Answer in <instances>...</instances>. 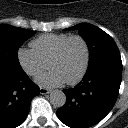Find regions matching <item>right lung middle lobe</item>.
I'll use <instances>...</instances> for the list:
<instances>
[{
    "label": "right lung middle lobe",
    "mask_w": 128,
    "mask_h": 128,
    "mask_svg": "<svg viewBox=\"0 0 128 128\" xmlns=\"http://www.w3.org/2000/svg\"><path fill=\"white\" fill-rule=\"evenodd\" d=\"M35 31L0 24V68L21 70L18 49Z\"/></svg>",
    "instance_id": "1"
}]
</instances>
